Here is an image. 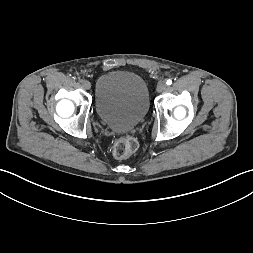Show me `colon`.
<instances>
[{
    "mask_svg": "<svg viewBox=\"0 0 253 253\" xmlns=\"http://www.w3.org/2000/svg\"><path fill=\"white\" fill-rule=\"evenodd\" d=\"M137 148V140L132 136H125L115 142L112 153L115 158L124 159L134 153Z\"/></svg>",
    "mask_w": 253,
    "mask_h": 253,
    "instance_id": "obj_1",
    "label": "colon"
}]
</instances>
